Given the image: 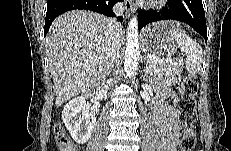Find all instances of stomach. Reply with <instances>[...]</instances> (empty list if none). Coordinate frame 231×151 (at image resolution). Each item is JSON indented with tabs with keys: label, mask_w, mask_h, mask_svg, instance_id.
<instances>
[{
	"label": "stomach",
	"mask_w": 231,
	"mask_h": 151,
	"mask_svg": "<svg viewBox=\"0 0 231 151\" xmlns=\"http://www.w3.org/2000/svg\"><path fill=\"white\" fill-rule=\"evenodd\" d=\"M180 25L172 20L155 22L143 31V48L155 55H174L179 48L177 35L182 33Z\"/></svg>",
	"instance_id": "obj_1"
}]
</instances>
